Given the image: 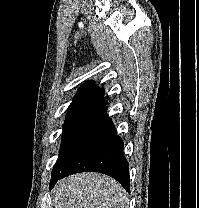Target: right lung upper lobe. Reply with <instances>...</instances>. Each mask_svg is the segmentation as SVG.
Listing matches in <instances>:
<instances>
[{
  "instance_id": "obj_1",
  "label": "right lung upper lobe",
  "mask_w": 199,
  "mask_h": 208,
  "mask_svg": "<svg viewBox=\"0 0 199 208\" xmlns=\"http://www.w3.org/2000/svg\"><path fill=\"white\" fill-rule=\"evenodd\" d=\"M104 90L94 86V81L82 85L68 108L70 111L103 109L105 106Z\"/></svg>"
}]
</instances>
